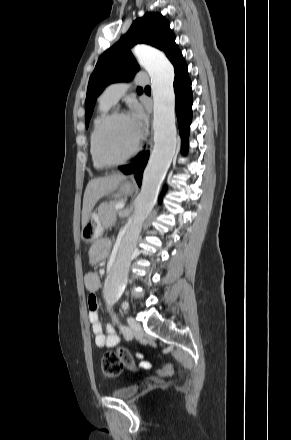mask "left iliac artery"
Segmentation results:
<instances>
[{
	"mask_svg": "<svg viewBox=\"0 0 291 440\" xmlns=\"http://www.w3.org/2000/svg\"><path fill=\"white\" fill-rule=\"evenodd\" d=\"M125 337H130L131 333L126 327H122Z\"/></svg>",
	"mask_w": 291,
	"mask_h": 440,
	"instance_id": "1",
	"label": "left iliac artery"
}]
</instances>
